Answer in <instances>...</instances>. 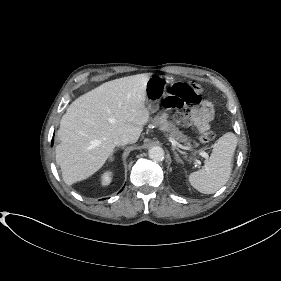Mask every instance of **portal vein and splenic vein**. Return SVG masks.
Segmentation results:
<instances>
[{
	"mask_svg": "<svg viewBox=\"0 0 281 281\" xmlns=\"http://www.w3.org/2000/svg\"><path fill=\"white\" fill-rule=\"evenodd\" d=\"M169 140L171 141V143L175 146V147H178V148H181V149H184V150H192L190 147L188 146H184L180 143H178L176 140H174L172 137H168ZM199 153V155H201L202 157L204 158H208V153H206L205 151L203 150H198L197 151Z\"/></svg>",
	"mask_w": 281,
	"mask_h": 281,
	"instance_id": "obj_1",
	"label": "portal vein and splenic vein"
}]
</instances>
